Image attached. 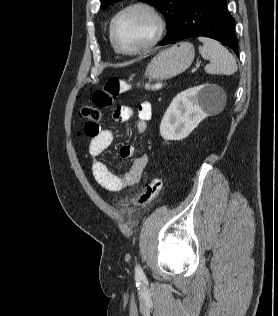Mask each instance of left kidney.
<instances>
[{
    "label": "left kidney",
    "mask_w": 278,
    "mask_h": 316,
    "mask_svg": "<svg viewBox=\"0 0 278 316\" xmlns=\"http://www.w3.org/2000/svg\"><path fill=\"white\" fill-rule=\"evenodd\" d=\"M223 89L214 84H203L179 93L166 110L160 124V135L165 140L186 138L208 115V111L223 97Z\"/></svg>",
    "instance_id": "1"
}]
</instances>
